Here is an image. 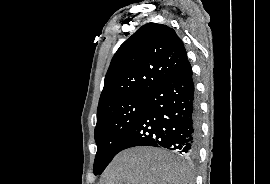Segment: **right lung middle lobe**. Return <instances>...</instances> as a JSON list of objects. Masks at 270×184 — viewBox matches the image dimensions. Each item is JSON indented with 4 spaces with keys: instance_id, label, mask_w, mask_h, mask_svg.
<instances>
[{
    "instance_id": "obj_1",
    "label": "right lung middle lobe",
    "mask_w": 270,
    "mask_h": 184,
    "mask_svg": "<svg viewBox=\"0 0 270 184\" xmlns=\"http://www.w3.org/2000/svg\"><path fill=\"white\" fill-rule=\"evenodd\" d=\"M147 96H132L104 107L97 116L95 141L97 153L94 174H101L128 136L146 106Z\"/></svg>"
}]
</instances>
